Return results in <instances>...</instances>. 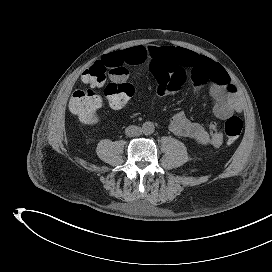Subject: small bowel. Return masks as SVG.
<instances>
[{
	"mask_svg": "<svg viewBox=\"0 0 272 272\" xmlns=\"http://www.w3.org/2000/svg\"><path fill=\"white\" fill-rule=\"evenodd\" d=\"M98 62L109 68L121 66L125 69L128 65L149 62L157 79L156 94L160 97L177 93L187 79L192 83L194 95L202 87L208 86L213 100V111L219 119H226L243 110L238 91L226 70L220 64L188 49L173 46H134L108 53ZM111 76L115 78L114 75ZM169 128L178 136L214 148L220 147L224 140L215 122H211L207 129L191 121L182 112L171 118Z\"/></svg>",
	"mask_w": 272,
	"mask_h": 272,
	"instance_id": "obj_1",
	"label": "small bowel"
}]
</instances>
